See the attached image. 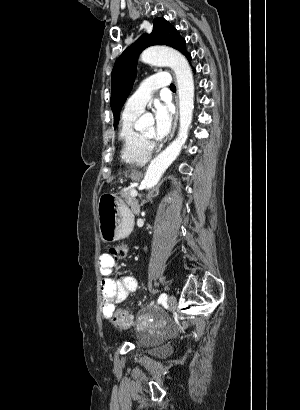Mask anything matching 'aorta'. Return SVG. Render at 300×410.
<instances>
[{
    "instance_id": "obj_1",
    "label": "aorta",
    "mask_w": 300,
    "mask_h": 410,
    "mask_svg": "<svg viewBox=\"0 0 300 410\" xmlns=\"http://www.w3.org/2000/svg\"><path fill=\"white\" fill-rule=\"evenodd\" d=\"M141 61L148 64L169 66L176 75L179 94V132L176 139L149 164L143 186L152 189L157 185L166 169L179 156L188 138L194 109V81L191 68L186 58L178 51L165 47H150L141 54ZM149 120L141 117L137 121L139 128H145Z\"/></svg>"
}]
</instances>
